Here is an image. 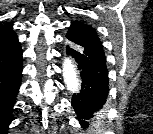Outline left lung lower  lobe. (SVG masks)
Wrapping results in <instances>:
<instances>
[{"label": "left lung lower lobe", "instance_id": "1", "mask_svg": "<svg viewBox=\"0 0 153 134\" xmlns=\"http://www.w3.org/2000/svg\"><path fill=\"white\" fill-rule=\"evenodd\" d=\"M66 51L77 62L82 78L80 93L72 97V106L80 124L87 126L85 120L92 118L93 113L100 110L107 99L109 80L106 58L95 52L85 49L78 51L69 46Z\"/></svg>", "mask_w": 153, "mask_h": 134}]
</instances>
